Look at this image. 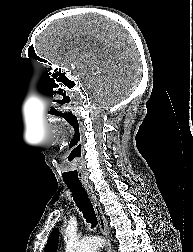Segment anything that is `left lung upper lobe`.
I'll list each match as a JSON object with an SVG mask.
<instances>
[{"mask_svg": "<svg viewBox=\"0 0 193 252\" xmlns=\"http://www.w3.org/2000/svg\"><path fill=\"white\" fill-rule=\"evenodd\" d=\"M59 230L54 229L50 234L44 252H56Z\"/></svg>", "mask_w": 193, "mask_h": 252, "instance_id": "left-lung-upper-lobe-1", "label": "left lung upper lobe"}]
</instances>
